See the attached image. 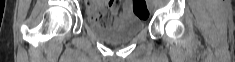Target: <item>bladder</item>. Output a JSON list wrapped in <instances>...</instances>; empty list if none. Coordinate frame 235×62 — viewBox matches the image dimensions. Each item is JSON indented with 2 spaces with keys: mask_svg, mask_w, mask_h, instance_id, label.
<instances>
[{
  "mask_svg": "<svg viewBox=\"0 0 235 62\" xmlns=\"http://www.w3.org/2000/svg\"><path fill=\"white\" fill-rule=\"evenodd\" d=\"M92 33L102 41L111 44L125 43L138 36L144 29L143 19L139 16H121L108 26L89 23Z\"/></svg>",
  "mask_w": 235,
  "mask_h": 62,
  "instance_id": "obj_1",
  "label": "bladder"
}]
</instances>
